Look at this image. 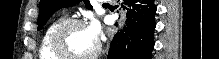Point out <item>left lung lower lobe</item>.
<instances>
[{
    "instance_id": "0a47b994",
    "label": "left lung lower lobe",
    "mask_w": 219,
    "mask_h": 59,
    "mask_svg": "<svg viewBox=\"0 0 219 59\" xmlns=\"http://www.w3.org/2000/svg\"><path fill=\"white\" fill-rule=\"evenodd\" d=\"M126 26L110 44L107 59H151L154 48V0H125Z\"/></svg>"
}]
</instances>
